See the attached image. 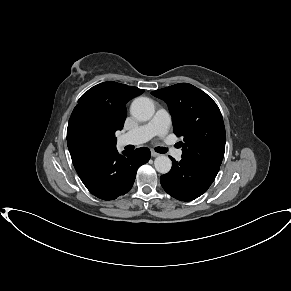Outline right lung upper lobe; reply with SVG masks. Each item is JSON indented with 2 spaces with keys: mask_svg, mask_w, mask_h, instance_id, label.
<instances>
[{
  "mask_svg": "<svg viewBox=\"0 0 291 291\" xmlns=\"http://www.w3.org/2000/svg\"><path fill=\"white\" fill-rule=\"evenodd\" d=\"M144 92L116 82L100 83L85 92L74 108L68 126L86 122L94 127L98 145L116 147L115 132L121 130L126 119V103Z\"/></svg>",
  "mask_w": 291,
  "mask_h": 291,
  "instance_id": "obj_1",
  "label": "right lung upper lobe"
}]
</instances>
